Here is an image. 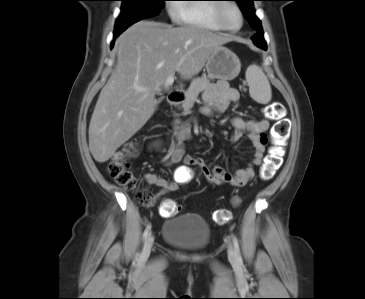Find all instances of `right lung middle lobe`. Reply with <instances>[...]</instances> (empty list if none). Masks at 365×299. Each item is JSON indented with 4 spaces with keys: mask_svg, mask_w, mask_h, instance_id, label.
Returning <instances> with one entry per match:
<instances>
[{
    "mask_svg": "<svg viewBox=\"0 0 365 299\" xmlns=\"http://www.w3.org/2000/svg\"><path fill=\"white\" fill-rule=\"evenodd\" d=\"M121 14L116 25L137 22L141 19L157 15L164 7L165 0H121Z\"/></svg>",
    "mask_w": 365,
    "mask_h": 299,
    "instance_id": "1",
    "label": "right lung middle lobe"
}]
</instances>
